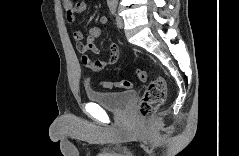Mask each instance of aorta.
<instances>
[{"instance_id":"aorta-1","label":"aorta","mask_w":239,"mask_h":156,"mask_svg":"<svg viewBox=\"0 0 239 156\" xmlns=\"http://www.w3.org/2000/svg\"><path fill=\"white\" fill-rule=\"evenodd\" d=\"M117 2H118V0H107V3H108L109 5H116Z\"/></svg>"}]
</instances>
